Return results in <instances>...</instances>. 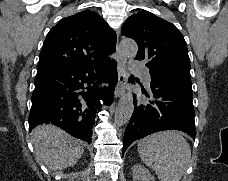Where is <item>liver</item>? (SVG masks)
Listing matches in <instances>:
<instances>
[{"instance_id": "1", "label": "liver", "mask_w": 228, "mask_h": 181, "mask_svg": "<svg viewBox=\"0 0 228 181\" xmlns=\"http://www.w3.org/2000/svg\"><path fill=\"white\" fill-rule=\"evenodd\" d=\"M35 159L50 171H60L76 165L84 153L83 141L74 139L54 125H38L32 129Z\"/></svg>"}]
</instances>
